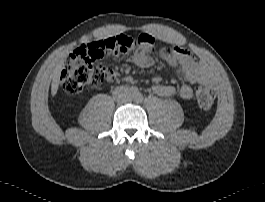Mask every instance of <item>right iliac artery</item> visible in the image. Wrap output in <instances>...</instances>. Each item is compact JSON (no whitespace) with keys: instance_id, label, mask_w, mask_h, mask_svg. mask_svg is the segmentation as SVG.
<instances>
[{"instance_id":"right-iliac-artery-1","label":"right iliac artery","mask_w":265,"mask_h":202,"mask_svg":"<svg viewBox=\"0 0 265 202\" xmlns=\"http://www.w3.org/2000/svg\"><path fill=\"white\" fill-rule=\"evenodd\" d=\"M130 92L133 93V94H136L137 93V88L136 87H131L130 88Z\"/></svg>"}]
</instances>
